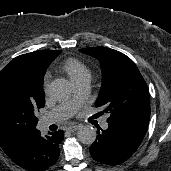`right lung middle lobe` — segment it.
Wrapping results in <instances>:
<instances>
[{
    "instance_id": "1",
    "label": "right lung middle lobe",
    "mask_w": 171,
    "mask_h": 171,
    "mask_svg": "<svg viewBox=\"0 0 171 171\" xmlns=\"http://www.w3.org/2000/svg\"><path fill=\"white\" fill-rule=\"evenodd\" d=\"M44 104L43 78L14 58L0 72V141L26 144L39 131L36 113Z\"/></svg>"
}]
</instances>
